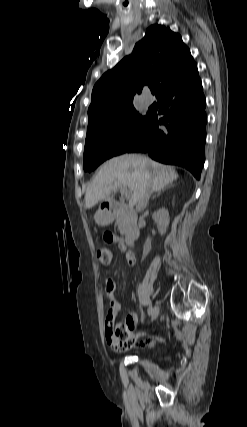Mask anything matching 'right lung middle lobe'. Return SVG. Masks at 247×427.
I'll return each instance as SVG.
<instances>
[{
  "mask_svg": "<svg viewBox=\"0 0 247 427\" xmlns=\"http://www.w3.org/2000/svg\"><path fill=\"white\" fill-rule=\"evenodd\" d=\"M151 115H140L134 106L116 118L87 130L83 155L84 171L91 172L105 160L125 153L145 134Z\"/></svg>",
  "mask_w": 247,
  "mask_h": 427,
  "instance_id": "dd1d6c3e",
  "label": "right lung middle lobe"
}]
</instances>
